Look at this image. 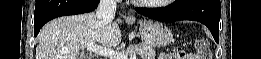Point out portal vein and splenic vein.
Returning <instances> with one entry per match:
<instances>
[{
  "label": "portal vein and splenic vein",
  "mask_w": 261,
  "mask_h": 59,
  "mask_svg": "<svg viewBox=\"0 0 261 59\" xmlns=\"http://www.w3.org/2000/svg\"><path fill=\"white\" fill-rule=\"evenodd\" d=\"M87 50L90 52H93L95 54H98L100 56L109 57L110 59H128L127 55L121 52H115L112 49L98 46L96 44H88L86 46ZM129 59H136V54L131 56Z\"/></svg>",
  "instance_id": "portal-vein-and-splenic-vein-1"
}]
</instances>
